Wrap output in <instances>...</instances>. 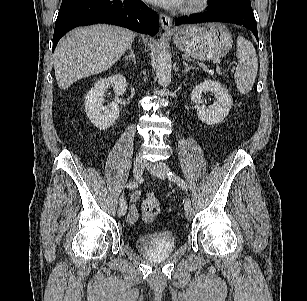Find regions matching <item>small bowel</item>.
Here are the masks:
<instances>
[{"label": "small bowel", "instance_id": "1", "mask_svg": "<svg viewBox=\"0 0 307 301\" xmlns=\"http://www.w3.org/2000/svg\"><path fill=\"white\" fill-rule=\"evenodd\" d=\"M140 198V193L139 192H134L131 196H130V202L132 203L130 208H129V212H128V216H127V221L129 223H134L138 217H139V210L137 208V206L135 205V202Z\"/></svg>", "mask_w": 307, "mask_h": 301}]
</instances>
